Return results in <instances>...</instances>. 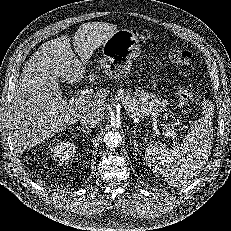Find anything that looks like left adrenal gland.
<instances>
[{
	"label": "left adrenal gland",
	"mask_w": 231,
	"mask_h": 231,
	"mask_svg": "<svg viewBox=\"0 0 231 231\" xmlns=\"http://www.w3.org/2000/svg\"><path fill=\"white\" fill-rule=\"evenodd\" d=\"M133 133L135 135V138H137L136 137V129L135 128H133ZM133 145H134L135 151L139 152V150H138V144H137L136 140L133 141Z\"/></svg>",
	"instance_id": "a2214340"
}]
</instances>
